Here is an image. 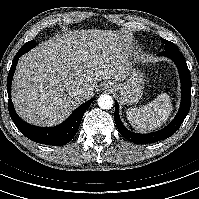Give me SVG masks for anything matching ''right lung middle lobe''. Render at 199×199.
I'll list each match as a JSON object with an SVG mask.
<instances>
[{
  "mask_svg": "<svg viewBox=\"0 0 199 199\" xmlns=\"http://www.w3.org/2000/svg\"><path fill=\"white\" fill-rule=\"evenodd\" d=\"M35 45H36L35 41H29V42L25 43L21 48H28V50H30L33 47H35Z\"/></svg>",
  "mask_w": 199,
  "mask_h": 199,
  "instance_id": "1",
  "label": "right lung middle lobe"
}]
</instances>
